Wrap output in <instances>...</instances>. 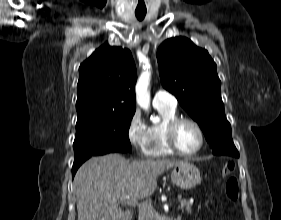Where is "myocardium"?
<instances>
[{
  "instance_id": "1",
  "label": "myocardium",
  "mask_w": 281,
  "mask_h": 220,
  "mask_svg": "<svg viewBox=\"0 0 281 220\" xmlns=\"http://www.w3.org/2000/svg\"><path fill=\"white\" fill-rule=\"evenodd\" d=\"M184 122L192 124L196 128V130L198 131V134H199V137H200V142H199L198 147L191 152L182 151L179 148V146L177 144V141H176L177 128L180 124H182ZM165 139H166V143H167L168 147L174 153H176L180 156L189 157V156L196 155L197 153H199L201 151V149L204 145L205 135H204V131H203L201 125L196 120H194L193 118H190V117L177 116V117L171 119L167 123L166 128H165Z\"/></svg>"
}]
</instances>
